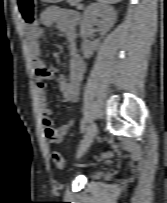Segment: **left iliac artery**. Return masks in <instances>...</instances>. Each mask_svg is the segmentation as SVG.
<instances>
[{"label":"left iliac artery","instance_id":"44dca946","mask_svg":"<svg viewBox=\"0 0 167 203\" xmlns=\"http://www.w3.org/2000/svg\"><path fill=\"white\" fill-rule=\"evenodd\" d=\"M84 130H85V120L82 119V120H81V123H80V131H81V133H83Z\"/></svg>","mask_w":167,"mask_h":203}]
</instances>
